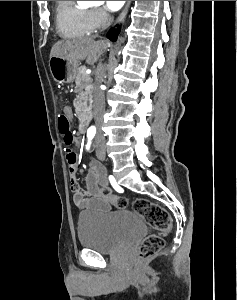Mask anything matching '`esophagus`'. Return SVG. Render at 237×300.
Returning a JSON list of instances; mask_svg holds the SVG:
<instances>
[{"label": "esophagus", "mask_w": 237, "mask_h": 300, "mask_svg": "<svg viewBox=\"0 0 237 300\" xmlns=\"http://www.w3.org/2000/svg\"><path fill=\"white\" fill-rule=\"evenodd\" d=\"M131 1H127L123 11L121 12V14L118 16L117 22H120L123 20V18L126 16L129 6H130Z\"/></svg>", "instance_id": "1"}]
</instances>
